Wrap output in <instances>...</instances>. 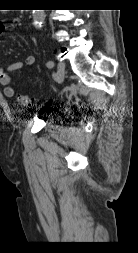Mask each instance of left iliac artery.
<instances>
[{
    "label": "left iliac artery",
    "instance_id": "obj_1",
    "mask_svg": "<svg viewBox=\"0 0 138 253\" xmlns=\"http://www.w3.org/2000/svg\"><path fill=\"white\" fill-rule=\"evenodd\" d=\"M47 67L48 68H53L54 67V62L53 61H48L47 62Z\"/></svg>",
    "mask_w": 138,
    "mask_h": 253
}]
</instances>
